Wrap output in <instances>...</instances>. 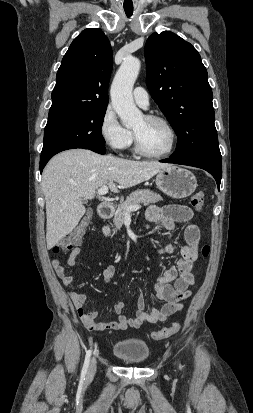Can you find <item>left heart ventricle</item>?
<instances>
[{"label":"left heart ventricle","instance_id":"left-heart-ventricle-1","mask_svg":"<svg viewBox=\"0 0 253 413\" xmlns=\"http://www.w3.org/2000/svg\"><path fill=\"white\" fill-rule=\"evenodd\" d=\"M142 147L151 153H159L166 150L170 144V133L167 128L158 122H152L141 118L133 127Z\"/></svg>","mask_w":253,"mask_h":413}]
</instances>
